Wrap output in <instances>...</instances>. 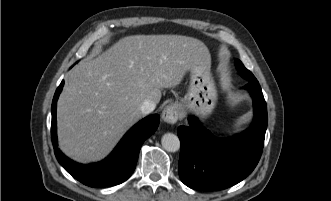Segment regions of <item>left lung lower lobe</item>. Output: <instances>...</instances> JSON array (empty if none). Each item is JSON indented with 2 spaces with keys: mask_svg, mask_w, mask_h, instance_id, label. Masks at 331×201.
Masks as SVG:
<instances>
[{
  "mask_svg": "<svg viewBox=\"0 0 331 201\" xmlns=\"http://www.w3.org/2000/svg\"><path fill=\"white\" fill-rule=\"evenodd\" d=\"M253 98L254 121L249 129L230 139L217 138L189 117L180 126L181 142L178 173L181 181L195 190L216 191L245 179L256 167L263 150L267 128V107L256 80L245 86Z\"/></svg>",
  "mask_w": 331,
  "mask_h": 201,
  "instance_id": "0a47b994",
  "label": "left lung lower lobe"
}]
</instances>
